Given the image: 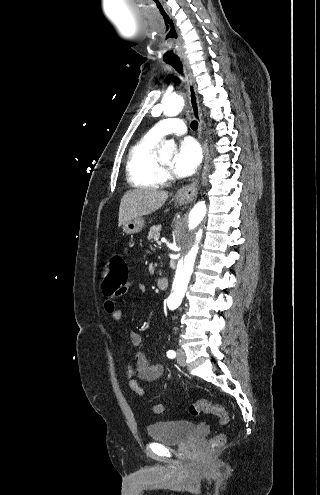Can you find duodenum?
I'll use <instances>...</instances> for the list:
<instances>
[{"label":"duodenum","instance_id":"1","mask_svg":"<svg viewBox=\"0 0 320 495\" xmlns=\"http://www.w3.org/2000/svg\"><path fill=\"white\" fill-rule=\"evenodd\" d=\"M158 288L161 289V290H166L169 286V280L168 278L166 277H161L159 280H158Z\"/></svg>","mask_w":320,"mask_h":495}]
</instances>
